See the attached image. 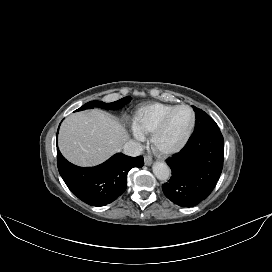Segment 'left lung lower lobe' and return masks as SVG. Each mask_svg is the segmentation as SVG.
<instances>
[{"label":"left lung lower lobe","mask_w":272,"mask_h":272,"mask_svg":"<svg viewBox=\"0 0 272 272\" xmlns=\"http://www.w3.org/2000/svg\"><path fill=\"white\" fill-rule=\"evenodd\" d=\"M224 139L217 125L192 135L185 147L167 160L172 177L162 185L165 196L182 207L207 198L223 168Z\"/></svg>","instance_id":"left-lung-lower-lobe-1"}]
</instances>
